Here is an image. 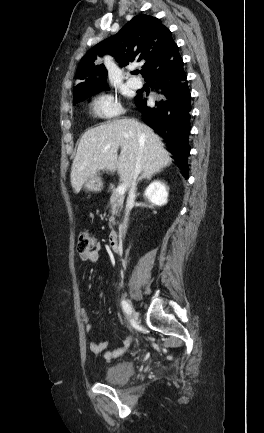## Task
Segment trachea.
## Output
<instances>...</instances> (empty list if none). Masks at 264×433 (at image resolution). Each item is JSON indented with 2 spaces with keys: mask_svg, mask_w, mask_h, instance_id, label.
I'll list each match as a JSON object with an SVG mask.
<instances>
[{
  "mask_svg": "<svg viewBox=\"0 0 264 433\" xmlns=\"http://www.w3.org/2000/svg\"><path fill=\"white\" fill-rule=\"evenodd\" d=\"M134 74H138L139 73V71L138 70H135L134 72H133Z\"/></svg>",
  "mask_w": 264,
  "mask_h": 433,
  "instance_id": "3493384b",
  "label": "trachea"
}]
</instances>
